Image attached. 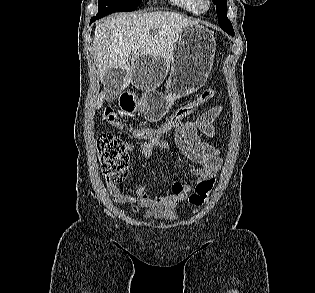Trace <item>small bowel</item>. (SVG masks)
<instances>
[{"instance_id":"small-bowel-1","label":"small bowel","mask_w":315,"mask_h":293,"mask_svg":"<svg viewBox=\"0 0 315 293\" xmlns=\"http://www.w3.org/2000/svg\"><path fill=\"white\" fill-rule=\"evenodd\" d=\"M221 112L222 107L215 106L199 115L195 120L184 118L173 128L174 145L161 140L159 136L145 139L140 145L141 155L145 159H149L152 156L153 148L171 151L175 155L182 154L200 166V168L191 170V173L197 177V183L213 177L222 165L220 150L216 146L202 141L197 132L201 131L209 138H216L217 131L213 122ZM126 148L131 152L134 146L128 142ZM107 189L115 203L130 204L136 211L138 207H174L188 197L192 186L175 181L171 186L170 193L158 198L152 197L145 185L138 186L134 195L122 193L117 185L111 183H107Z\"/></svg>"}]
</instances>
